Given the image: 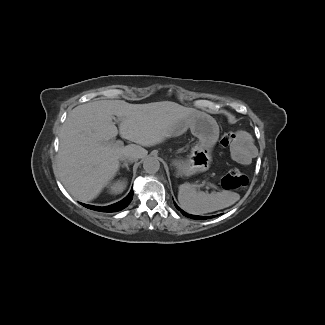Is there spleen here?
<instances>
[{
    "label": "spleen",
    "mask_w": 325,
    "mask_h": 325,
    "mask_svg": "<svg viewBox=\"0 0 325 325\" xmlns=\"http://www.w3.org/2000/svg\"><path fill=\"white\" fill-rule=\"evenodd\" d=\"M197 185L184 183L179 186L178 200L181 207L190 214L202 215L217 211L234 203L225 192L207 194L196 189Z\"/></svg>",
    "instance_id": "spleen-1"
}]
</instances>
